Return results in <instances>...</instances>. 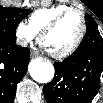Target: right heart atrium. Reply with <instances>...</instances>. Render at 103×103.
I'll return each mask as SVG.
<instances>
[{"instance_id":"1","label":"right heart atrium","mask_w":103,"mask_h":103,"mask_svg":"<svg viewBox=\"0 0 103 103\" xmlns=\"http://www.w3.org/2000/svg\"><path fill=\"white\" fill-rule=\"evenodd\" d=\"M15 33L17 41L21 45H27L38 36V32L26 22H19L16 26Z\"/></svg>"}]
</instances>
